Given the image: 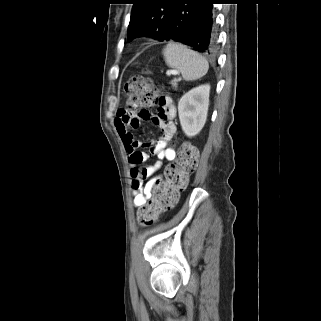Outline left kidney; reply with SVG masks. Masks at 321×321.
<instances>
[{
  "label": "left kidney",
  "instance_id": "5707ae66",
  "mask_svg": "<svg viewBox=\"0 0 321 321\" xmlns=\"http://www.w3.org/2000/svg\"><path fill=\"white\" fill-rule=\"evenodd\" d=\"M210 85L205 84L185 93L178 103V113L183 132L196 136L204 127L209 106Z\"/></svg>",
  "mask_w": 321,
  "mask_h": 321
}]
</instances>
